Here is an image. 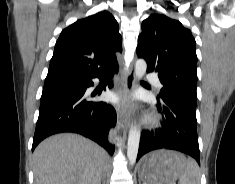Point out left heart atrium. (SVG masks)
Masks as SVG:
<instances>
[{
  "label": "left heart atrium",
  "instance_id": "39dd6f15",
  "mask_svg": "<svg viewBox=\"0 0 235 184\" xmlns=\"http://www.w3.org/2000/svg\"><path fill=\"white\" fill-rule=\"evenodd\" d=\"M113 100H114L115 102H117V101H118V98H117V97H113Z\"/></svg>",
  "mask_w": 235,
  "mask_h": 184
}]
</instances>
